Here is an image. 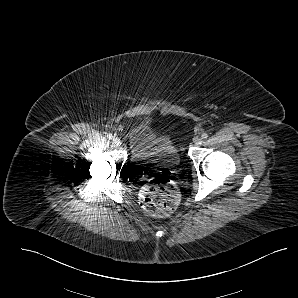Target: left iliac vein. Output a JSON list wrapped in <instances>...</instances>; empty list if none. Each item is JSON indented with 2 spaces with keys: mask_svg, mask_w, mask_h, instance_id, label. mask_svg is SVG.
<instances>
[{
  "mask_svg": "<svg viewBox=\"0 0 298 298\" xmlns=\"http://www.w3.org/2000/svg\"><path fill=\"white\" fill-rule=\"evenodd\" d=\"M194 143H195V145L199 146L203 143V139L202 138H196Z\"/></svg>",
  "mask_w": 298,
  "mask_h": 298,
  "instance_id": "1",
  "label": "left iliac vein"
}]
</instances>
